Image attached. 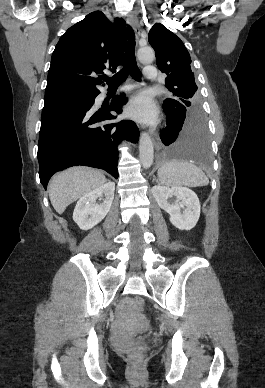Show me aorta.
I'll return each instance as SVG.
<instances>
[{"instance_id":"aorta-1","label":"aorta","mask_w":265,"mask_h":388,"mask_svg":"<svg viewBox=\"0 0 265 388\" xmlns=\"http://www.w3.org/2000/svg\"><path fill=\"white\" fill-rule=\"evenodd\" d=\"M140 61L150 63L154 60L155 54L151 48H141L138 51ZM139 157L143 168H149L154 159V148L150 136L143 132L139 139Z\"/></svg>"}]
</instances>
